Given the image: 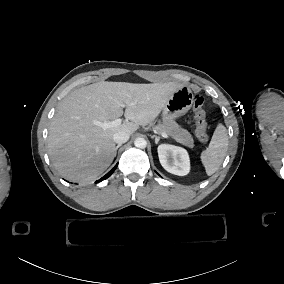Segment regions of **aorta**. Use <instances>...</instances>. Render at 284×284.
<instances>
[{
    "mask_svg": "<svg viewBox=\"0 0 284 284\" xmlns=\"http://www.w3.org/2000/svg\"><path fill=\"white\" fill-rule=\"evenodd\" d=\"M134 145L137 148L143 149L147 146V142L144 138L138 137V138L135 139Z\"/></svg>",
    "mask_w": 284,
    "mask_h": 284,
    "instance_id": "1",
    "label": "aorta"
}]
</instances>
